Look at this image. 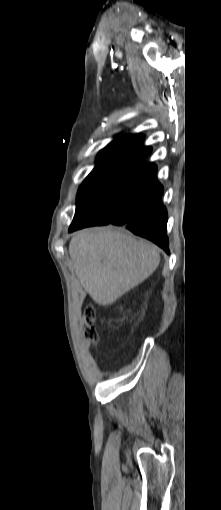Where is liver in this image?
<instances>
[{"label": "liver", "mask_w": 221, "mask_h": 510, "mask_svg": "<svg viewBox=\"0 0 221 510\" xmlns=\"http://www.w3.org/2000/svg\"><path fill=\"white\" fill-rule=\"evenodd\" d=\"M72 270L99 305H109L158 267L156 245L112 227L78 231L69 243Z\"/></svg>", "instance_id": "1"}]
</instances>
